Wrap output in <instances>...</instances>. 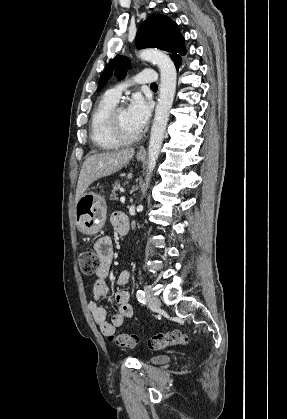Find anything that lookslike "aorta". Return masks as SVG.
I'll list each match as a JSON object with an SVG mask.
<instances>
[{
	"label": "aorta",
	"instance_id": "obj_1",
	"mask_svg": "<svg viewBox=\"0 0 287 419\" xmlns=\"http://www.w3.org/2000/svg\"><path fill=\"white\" fill-rule=\"evenodd\" d=\"M141 59L151 61L160 70V94L155 109V118L151 127L148 145V166L145 186L148 187L151 174L156 166L160 148L164 139L165 129L169 120L170 109L173 104L177 72L173 61L168 55L157 49H144L139 53ZM142 209V205L137 210Z\"/></svg>",
	"mask_w": 287,
	"mask_h": 419
}]
</instances>
